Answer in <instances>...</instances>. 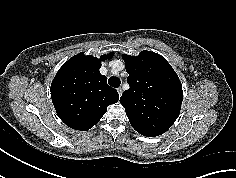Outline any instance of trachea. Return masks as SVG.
Listing matches in <instances>:
<instances>
[{"label": "trachea", "instance_id": "3493384b", "mask_svg": "<svg viewBox=\"0 0 236 178\" xmlns=\"http://www.w3.org/2000/svg\"><path fill=\"white\" fill-rule=\"evenodd\" d=\"M108 84L114 88H118L121 84V80L118 77H110L108 79Z\"/></svg>", "mask_w": 236, "mask_h": 178}]
</instances>
